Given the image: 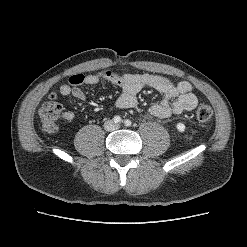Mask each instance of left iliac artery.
I'll return each instance as SVG.
<instances>
[{"instance_id": "44dca946", "label": "left iliac artery", "mask_w": 247, "mask_h": 247, "mask_svg": "<svg viewBox=\"0 0 247 247\" xmlns=\"http://www.w3.org/2000/svg\"><path fill=\"white\" fill-rule=\"evenodd\" d=\"M124 124H125V126L129 127V126H131L132 122L129 119H127L124 121Z\"/></svg>"}]
</instances>
